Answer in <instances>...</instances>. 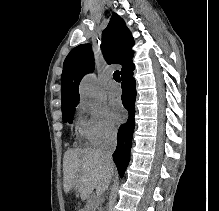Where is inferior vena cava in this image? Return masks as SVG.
Listing matches in <instances>:
<instances>
[{"label":"inferior vena cava","instance_id":"602c4592","mask_svg":"<svg viewBox=\"0 0 219 211\" xmlns=\"http://www.w3.org/2000/svg\"><path fill=\"white\" fill-rule=\"evenodd\" d=\"M117 145V139H116V131H109V133H106L103 143L101 147H99L98 151H101L103 157L105 159H109V161L105 162L106 166H110L108 169L111 171L113 168L111 166H115L116 162L112 159V153L115 151ZM114 175L117 173L115 170L112 172Z\"/></svg>","mask_w":219,"mask_h":211}]
</instances>
